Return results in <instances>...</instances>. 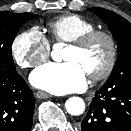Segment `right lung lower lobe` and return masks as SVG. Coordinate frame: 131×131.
Returning a JSON list of instances; mask_svg holds the SVG:
<instances>
[{
  "label": "right lung lower lobe",
  "mask_w": 131,
  "mask_h": 131,
  "mask_svg": "<svg viewBox=\"0 0 131 131\" xmlns=\"http://www.w3.org/2000/svg\"><path fill=\"white\" fill-rule=\"evenodd\" d=\"M35 97L15 70L0 68V131H30Z\"/></svg>",
  "instance_id": "right-lung-lower-lobe-1"
}]
</instances>
